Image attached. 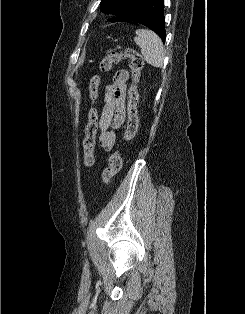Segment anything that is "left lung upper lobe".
Returning a JSON list of instances; mask_svg holds the SVG:
<instances>
[{"instance_id":"obj_1","label":"left lung upper lobe","mask_w":245,"mask_h":314,"mask_svg":"<svg viewBox=\"0 0 245 314\" xmlns=\"http://www.w3.org/2000/svg\"><path fill=\"white\" fill-rule=\"evenodd\" d=\"M145 0H102L100 10L116 15L112 22L130 20L141 8Z\"/></svg>"}]
</instances>
